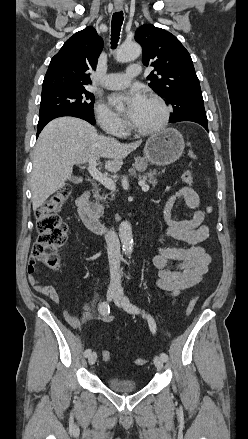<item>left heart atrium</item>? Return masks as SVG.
<instances>
[{
	"instance_id": "left-heart-atrium-1",
	"label": "left heart atrium",
	"mask_w": 248,
	"mask_h": 439,
	"mask_svg": "<svg viewBox=\"0 0 248 439\" xmlns=\"http://www.w3.org/2000/svg\"><path fill=\"white\" fill-rule=\"evenodd\" d=\"M110 101L113 105L125 106L128 117L133 119L144 105L146 98L140 90L132 89L127 92L113 94Z\"/></svg>"
}]
</instances>
